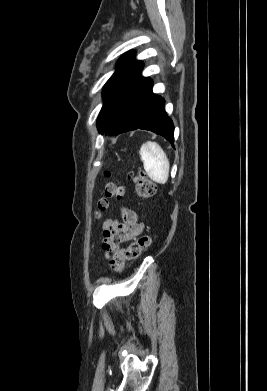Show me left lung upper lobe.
Listing matches in <instances>:
<instances>
[{
    "mask_svg": "<svg viewBox=\"0 0 267 391\" xmlns=\"http://www.w3.org/2000/svg\"><path fill=\"white\" fill-rule=\"evenodd\" d=\"M142 68L143 63L134 59L133 52L125 54L119 60L117 70L103 89L104 104L97 120L100 133L107 129L122 100L142 81Z\"/></svg>",
    "mask_w": 267,
    "mask_h": 391,
    "instance_id": "1",
    "label": "left lung upper lobe"
}]
</instances>
